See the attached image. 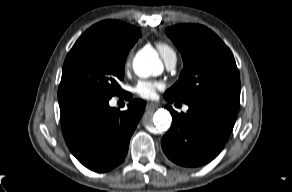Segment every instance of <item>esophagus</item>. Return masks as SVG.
Returning a JSON list of instances; mask_svg holds the SVG:
<instances>
[{
	"label": "esophagus",
	"mask_w": 292,
	"mask_h": 192,
	"mask_svg": "<svg viewBox=\"0 0 292 192\" xmlns=\"http://www.w3.org/2000/svg\"><path fill=\"white\" fill-rule=\"evenodd\" d=\"M158 107V104L157 103H154V102H148L146 104V109L150 110V109H155Z\"/></svg>",
	"instance_id": "1"
}]
</instances>
